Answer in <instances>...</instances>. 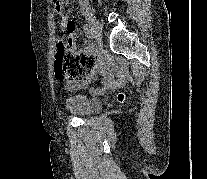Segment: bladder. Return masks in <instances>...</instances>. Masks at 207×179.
<instances>
[{
	"label": "bladder",
	"instance_id": "bladder-1",
	"mask_svg": "<svg viewBox=\"0 0 207 179\" xmlns=\"http://www.w3.org/2000/svg\"><path fill=\"white\" fill-rule=\"evenodd\" d=\"M101 107L102 104L99 99L85 92H79L69 96L66 104L67 112L76 116H87L97 113Z\"/></svg>",
	"mask_w": 207,
	"mask_h": 179
}]
</instances>
